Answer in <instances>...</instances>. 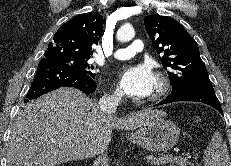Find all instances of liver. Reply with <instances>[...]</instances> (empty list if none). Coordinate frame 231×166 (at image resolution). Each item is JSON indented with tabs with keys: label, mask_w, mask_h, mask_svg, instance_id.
Returning a JSON list of instances; mask_svg holds the SVG:
<instances>
[{
	"label": "liver",
	"mask_w": 231,
	"mask_h": 166,
	"mask_svg": "<svg viewBox=\"0 0 231 166\" xmlns=\"http://www.w3.org/2000/svg\"><path fill=\"white\" fill-rule=\"evenodd\" d=\"M159 115L145 109L118 118L100 111L92 99L73 88L47 93L22 108L11 125L8 166H54L84 160L107 150L112 129L133 130Z\"/></svg>",
	"instance_id": "1"
}]
</instances>
